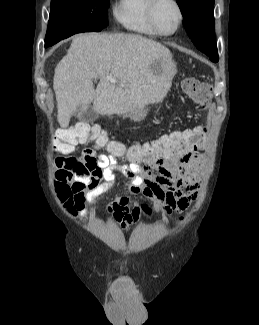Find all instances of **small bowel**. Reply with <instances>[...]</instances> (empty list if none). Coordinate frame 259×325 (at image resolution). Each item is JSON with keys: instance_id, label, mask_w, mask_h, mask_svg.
<instances>
[{"instance_id": "small-bowel-1", "label": "small bowel", "mask_w": 259, "mask_h": 325, "mask_svg": "<svg viewBox=\"0 0 259 325\" xmlns=\"http://www.w3.org/2000/svg\"><path fill=\"white\" fill-rule=\"evenodd\" d=\"M199 143V149H175L147 161H132L125 155H98L95 149L87 148L81 157L55 160V186L62 202L74 212L114 188L115 173H121L129 180L127 193L117 196L107 211L126 229L139 218L132 196L152 199L167 215L185 209L196 197L200 184L199 150L204 144Z\"/></svg>"}]
</instances>
